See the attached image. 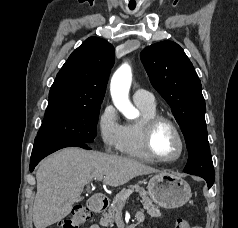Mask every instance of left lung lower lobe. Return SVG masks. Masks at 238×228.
Returning <instances> with one entry per match:
<instances>
[{
	"label": "left lung lower lobe",
	"mask_w": 238,
	"mask_h": 228,
	"mask_svg": "<svg viewBox=\"0 0 238 228\" xmlns=\"http://www.w3.org/2000/svg\"><path fill=\"white\" fill-rule=\"evenodd\" d=\"M184 172L188 173V174L198 175V176L204 178L206 180L207 184H208V188H211V186L214 183L215 177H211V176H208V175L202 174V173H194V172H186V171H184Z\"/></svg>",
	"instance_id": "1"
}]
</instances>
